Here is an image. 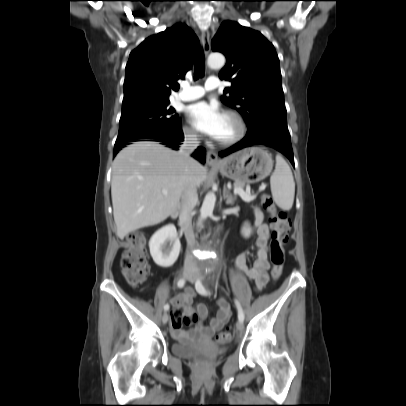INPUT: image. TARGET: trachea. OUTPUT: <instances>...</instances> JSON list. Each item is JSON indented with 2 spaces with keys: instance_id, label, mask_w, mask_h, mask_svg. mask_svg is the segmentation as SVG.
Masks as SVG:
<instances>
[{
  "instance_id": "obj_1",
  "label": "trachea",
  "mask_w": 406,
  "mask_h": 406,
  "mask_svg": "<svg viewBox=\"0 0 406 406\" xmlns=\"http://www.w3.org/2000/svg\"><path fill=\"white\" fill-rule=\"evenodd\" d=\"M195 72H194V79L197 80L200 77L204 76L205 72V57L202 50H199L195 57Z\"/></svg>"
}]
</instances>
